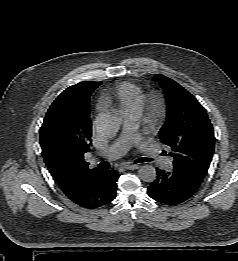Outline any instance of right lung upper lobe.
I'll list each match as a JSON object with an SVG mask.
<instances>
[{
  "instance_id": "1",
  "label": "right lung upper lobe",
  "mask_w": 238,
  "mask_h": 261,
  "mask_svg": "<svg viewBox=\"0 0 238 261\" xmlns=\"http://www.w3.org/2000/svg\"><path fill=\"white\" fill-rule=\"evenodd\" d=\"M100 82L83 81L70 86L72 109L67 118L44 120L40 129L42 155L53 179L70 199L82 194L100 170L89 169L84 154L89 151L92 123L89 98Z\"/></svg>"
}]
</instances>
